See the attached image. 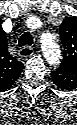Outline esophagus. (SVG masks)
Segmentation results:
<instances>
[{
  "label": "esophagus",
  "mask_w": 77,
  "mask_h": 125,
  "mask_svg": "<svg viewBox=\"0 0 77 125\" xmlns=\"http://www.w3.org/2000/svg\"><path fill=\"white\" fill-rule=\"evenodd\" d=\"M33 53H34V49L31 46H23L18 51L19 56L22 57V58L29 57V56L33 55Z\"/></svg>",
  "instance_id": "esophagus-1"
}]
</instances>
